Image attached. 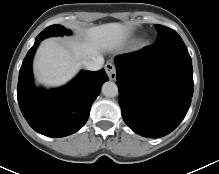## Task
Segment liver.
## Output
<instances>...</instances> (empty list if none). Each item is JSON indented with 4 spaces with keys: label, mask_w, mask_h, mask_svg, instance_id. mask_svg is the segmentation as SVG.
Listing matches in <instances>:
<instances>
[{
    "label": "liver",
    "mask_w": 219,
    "mask_h": 174,
    "mask_svg": "<svg viewBox=\"0 0 219 174\" xmlns=\"http://www.w3.org/2000/svg\"><path fill=\"white\" fill-rule=\"evenodd\" d=\"M126 28L119 23H108L89 28L82 43L60 44L53 39L45 40L38 48L34 71L37 80L47 86H59L69 81L84 61L101 56L105 50L117 48Z\"/></svg>",
    "instance_id": "liver-1"
}]
</instances>
